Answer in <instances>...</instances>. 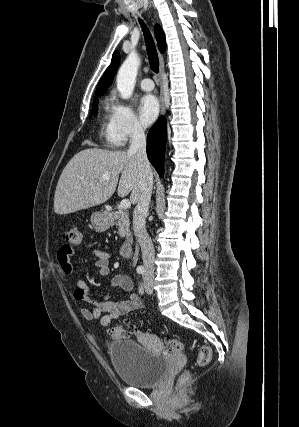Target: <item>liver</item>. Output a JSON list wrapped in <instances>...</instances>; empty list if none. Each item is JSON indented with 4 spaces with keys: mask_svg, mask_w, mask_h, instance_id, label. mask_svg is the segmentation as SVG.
<instances>
[{
    "mask_svg": "<svg viewBox=\"0 0 299 427\" xmlns=\"http://www.w3.org/2000/svg\"><path fill=\"white\" fill-rule=\"evenodd\" d=\"M109 174V179H102ZM121 174L120 180L119 175ZM135 204L140 197V175L135 154L89 148L68 162L59 178L55 197L56 214H70L106 202L116 190Z\"/></svg>",
    "mask_w": 299,
    "mask_h": 427,
    "instance_id": "6515ba94",
    "label": "liver"
}]
</instances>
